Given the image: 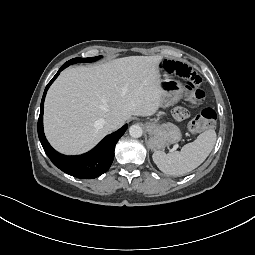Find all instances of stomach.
Segmentation results:
<instances>
[{"label":"stomach","mask_w":255,"mask_h":255,"mask_svg":"<svg viewBox=\"0 0 255 255\" xmlns=\"http://www.w3.org/2000/svg\"><path fill=\"white\" fill-rule=\"evenodd\" d=\"M163 94L161 97V106L168 107L180 100L182 96L183 86L181 83L165 79L161 85ZM146 129L149 133V146L153 150H161L170 144L180 141V129L171 124H158L156 122H147Z\"/></svg>","instance_id":"0dacf381"}]
</instances>
